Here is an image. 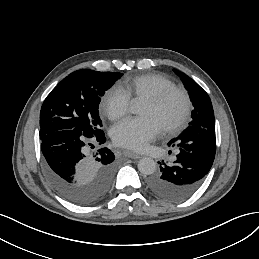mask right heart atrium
Segmentation results:
<instances>
[{
	"label": "right heart atrium",
	"instance_id": "1",
	"mask_svg": "<svg viewBox=\"0 0 259 259\" xmlns=\"http://www.w3.org/2000/svg\"><path fill=\"white\" fill-rule=\"evenodd\" d=\"M104 114L112 119H118L128 113L130 101L113 89L107 90L101 99Z\"/></svg>",
	"mask_w": 259,
	"mask_h": 259
}]
</instances>
